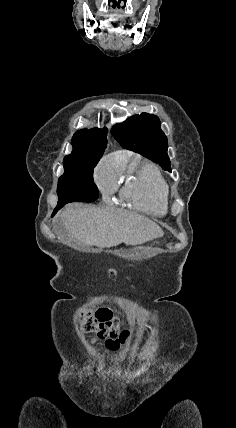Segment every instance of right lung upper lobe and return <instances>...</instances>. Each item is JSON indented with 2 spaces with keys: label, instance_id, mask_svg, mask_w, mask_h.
<instances>
[{
  "label": "right lung upper lobe",
  "instance_id": "1",
  "mask_svg": "<svg viewBox=\"0 0 236 428\" xmlns=\"http://www.w3.org/2000/svg\"><path fill=\"white\" fill-rule=\"evenodd\" d=\"M107 129H82L72 138L73 151L64 158V166H94L106 148Z\"/></svg>",
  "mask_w": 236,
  "mask_h": 428
}]
</instances>
